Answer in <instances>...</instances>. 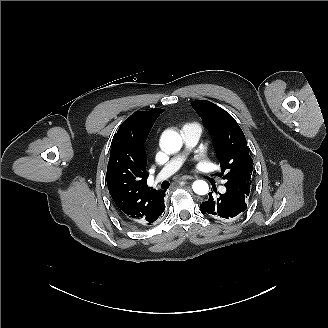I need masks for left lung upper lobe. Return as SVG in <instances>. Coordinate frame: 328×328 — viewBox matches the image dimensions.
Segmentation results:
<instances>
[{
	"mask_svg": "<svg viewBox=\"0 0 328 328\" xmlns=\"http://www.w3.org/2000/svg\"><path fill=\"white\" fill-rule=\"evenodd\" d=\"M192 106L212 135L227 192L245 201L250 193L253 161L241 128L227 111L210 101H194Z\"/></svg>",
	"mask_w": 328,
	"mask_h": 328,
	"instance_id": "obj_1",
	"label": "left lung upper lobe"
}]
</instances>
